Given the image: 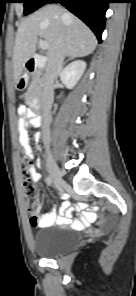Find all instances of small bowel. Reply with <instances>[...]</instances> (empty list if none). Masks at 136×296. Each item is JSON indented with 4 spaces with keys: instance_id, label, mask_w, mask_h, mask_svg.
<instances>
[{
    "instance_id": "small-bowel-1",
    "label": "small bowel",
    "mask_w": 136,
    "mask_h": 296,
    "mask_svg": "<svg viewBox=\"0 0 136 296\" xmlns=\"http://www.w3.org/2000/svg\"><path fill=\"white\" fill-rule=\"evenodd\" d=\"M19 113L21 115V118L18 121L19 140H20V143L25 148V154L28 157H32L33 152H32L30 145H29V141H30L29 130H30V123L34 125L36 117L34 116V114L30 110L26 109L23 106L20 107ZM26 118L30 119V122H28L26 120ZM40 137H41L40 133L35 134L36 140H39ZM38 166H40L39 163H38ZM31 173H32V176L36 182L41 181V174L38 173L33 166L31 167ZM93 216H94L93 213L86 212L83 214L82 220L84 222H87V221L91 220L93 218ZM36 217H37L36 222H33L31 220V223L34 227H41V228L53 226L55 224L72 225L75 222L73 220V218L71 217L69 210H67V209L63 210L59 216L55 215L54 213H46V214L41 215L40 211H38Z\"/></svg>"
}]
</instances>
